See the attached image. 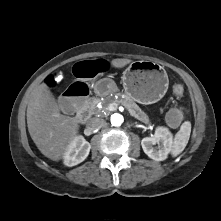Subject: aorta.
Instances as JSON below:
<instances>
[{"label":"aorta","instance_id":"762f6f07","mask_svg":"<svg viewBox=\"0 0 221 221\" xmlns=\"http://www.w3.org/2000/svg\"><path fill=\"white\" fill-rule=\"evenodd\" d=\"M124 122V117L121 114L115 113L111 116V124L113 126H121Z\"/></svg>","mask_w":221,"mask_h":221}]
</instances>
